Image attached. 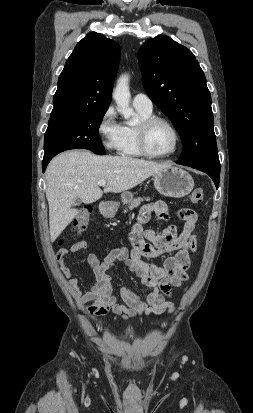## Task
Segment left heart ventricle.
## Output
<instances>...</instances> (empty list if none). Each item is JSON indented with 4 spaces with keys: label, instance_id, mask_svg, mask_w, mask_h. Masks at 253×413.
<instances>
[{
    "label": "left heart ventricle",
    "instance_id": "left-heart-ventricle-1",
    "mask_svg": "<svg viewBox=\"0 0 253 413\" xmlns=\"http://www.w3.org/2000/svg\"><path fill=\"white\" fill-rule=\"evenodd\" d=\"M148 145L154 153L169 152L174 145V135L171 129L161 122L152 125L148 131Z\"/></svg>",
    "mask_w": 253,
    "mask_h": 413
}]
</instances>
